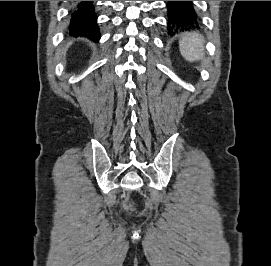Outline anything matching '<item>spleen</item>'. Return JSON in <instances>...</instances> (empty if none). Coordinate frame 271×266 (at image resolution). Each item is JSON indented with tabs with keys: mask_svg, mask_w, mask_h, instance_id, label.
<instances>
[{
	"mask_svg": "<svg viewBox=\"0 0 271 266\" xmlns=\"http://www.w3.org/2000/svg\"><path fill=\"white\" fill-rule=\"evenodd\" d=\"M204 38L198 33H185L179 41V49L183 58L188 62L200 60L203 56Z\"/></svg>",
	"mask_w": 271,
	"mask_h": 266,
	"instance_id": "spleen-1",
	"label": "spleen"
}]
</instances>
